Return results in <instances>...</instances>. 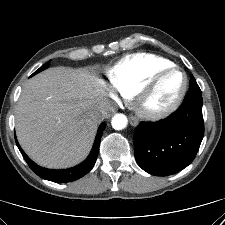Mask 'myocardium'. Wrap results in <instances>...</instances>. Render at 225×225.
Instances as JSON below:
<instances>
[{
	"label": "myocardium",
	"instance_id": "obj_1",
	"mask_svg": "<svg viewBox=\"0 0 225 225\" xmlns=\"http://www.w3.org/2000/svg\"><path fill=\"white\" fill-rule=\"evenodd\" d=\"M178 73L181 76L179 87L170 101L164 106L156 109L146 107V101L149 96L155 91L159 83L167 76ZM188 79L186 73L178 66H171L163 69L153 75L136 93L134 96V105L137 114L146 120L156 121L168 117L175 112L180 106L186 91Z\"/></svg>",
	"mask_w": 225,
	"mask_h": 225
}]
</instances>
